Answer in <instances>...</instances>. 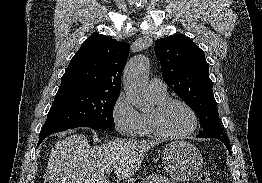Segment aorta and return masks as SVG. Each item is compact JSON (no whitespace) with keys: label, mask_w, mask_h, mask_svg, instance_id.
<instances>
[{"label":"aorta","mask_w":262,"mask_h":183,"mask_svg":"<svg viewBox=\"0 0 262 183\" xmlns=\"http://www.w3.org/2000/svg\"><path fill=\"white\" fill-rule=\"evenodd\" d=\"M149 62L144 56H137L127 63L123 73V87L127 98L140 111L151 105L146 75Z\"/></svg>","instance_id":"762f6f07"}]
</instances>
